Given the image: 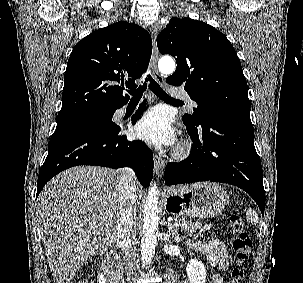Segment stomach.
I'll return each instance as SVG.
<instances>
[{
    "instance_id": "1",
    "label": "stomach",
    "mask_w": 303,
    "mask_h": 283,
    "mask_svg": "<svg viewBox=\"0 0 303 283\" xmlns=\"http://www.w3.org/2000/svg\"><path fill=\"white\" fill-rule=\"evenodd\" d=\"M225 190L214 183H196L170 189L165 196L166 210L192 218H213L228 204Z\"/></svg>"
}]
</instances>
